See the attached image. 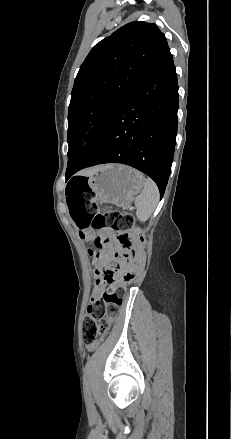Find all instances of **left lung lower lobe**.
<instances>
[{"label": "left lung lower lobe", "mask_w": 231, "mask_h": 439, "mask_svg": "<svg viewBox=\"0 0 231 439\" xmlns=\"http://www.w3.org/2000/svg\"><path fill=\"white\" fill-rule=\"evenodd\" d=\"M178 84L172 54L144 76L103 129L68 161L67 178L103 163H122L151 177L162 198L177 135Z\"/></svg>", "instance_id": "1"}]
</instances>
